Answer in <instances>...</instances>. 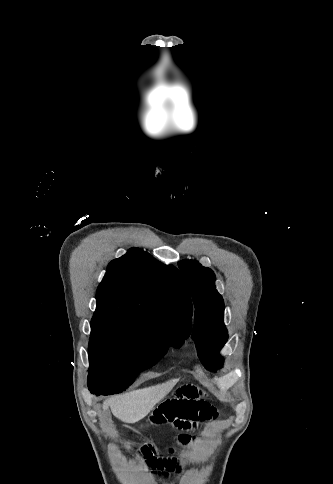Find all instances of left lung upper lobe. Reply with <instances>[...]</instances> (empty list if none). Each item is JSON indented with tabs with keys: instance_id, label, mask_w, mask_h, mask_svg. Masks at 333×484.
Listing matches in <instances>:
<instances>
[{
	"instance_id": "obj_1",
	"label": "left lung upper lobe",
	"mask_w": 333,
	"mask_h": 484,
	"mask_svg": "<svg viewBox=\"0 0 333 484\" xmlns=\"http://www.w3.org/2000/svg\"><path fill=\"white\" fill-rule=\"evenodd\" d=\"M181 276L185 279L195 306L193 339L198 355L209 370L221 368L223 361L219 350L228 339L223 322L224 301L215 287L214 272L195 260L178 262Z\"/></svg>"
}]
</instances>
